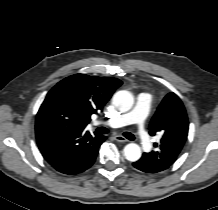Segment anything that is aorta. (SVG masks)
Listing matches in <instances>:
<instances>
[{"mask_svg": "<svg viewBox=\"0 0 218 210\" xmlns=\"http://www.w3.org/2000/svg\"><path fill=\"white\" fill-rule=\"evenodd\" d=\"M134 103L133 95L129 91H118L113 96V104L122 112L129 111ZM124 156L128 161L135 162L141 157V148L135 143H129L124 147Z\"/></svg>", "mask_w": 218, "mask_h": 210, "instance_id": "762f6f07", "label": "aorta"}]
</instances>
